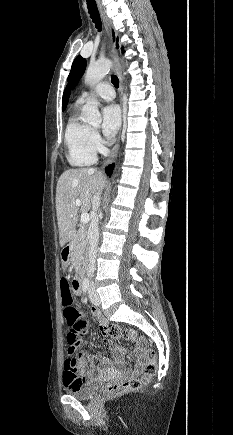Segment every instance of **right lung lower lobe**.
Segmentation results:
<instances>
[{
  "label": "right lung lower lobe",
  "instance_id": "obj_1",
  "mask_svg": "<svg viewBox=\"0 0 233 435\" xmlns=\"http://www.w3.org/2000/svg\"><path fill=\"white\" fill-rule=\"evenodd\" d=\"M113 168H114V164H111L108 167H106L105 172L107 173V175L111 176Z\"/></svg>",
  "mask_w": 233,
  "mask_h": 435
}]
</instances>
